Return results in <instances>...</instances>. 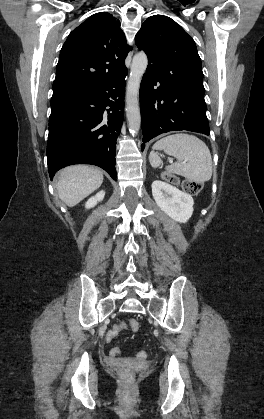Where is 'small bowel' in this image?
Listing matches in <instances>:
<instances>
[{"label":"small bowel","instance_id":"1","mask_svg":"<svg viewBox=\"0 0 264 419\" xmlns=\"http://www.w3.org/2000/svg\"><path fill=\"white\" fill-rule=\"evenodd\" d=\"M124 328V325L123 324H117V325H114L113 327H112V329L111 330H109L108 331V333H107V340L108 341H111L115 336H117V334L122 330ZM120 353V349L118 348V347H114V348H112L111 349V351H110V355L112 356V357H115V356H117L118 354Z\"/></svg>","mask_w":264,"mask_h":419}]
</instances>
